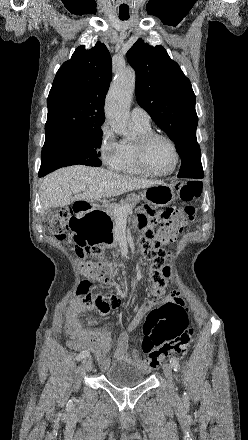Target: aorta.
Wrapping results in <instances>:
<instances>
[{
    "label": "aorta",
    "instance_id": "762f6f07",
    "mask_svg": "<svg viewBox=\"0 0 248 440\" xmlns=\"http://www.w3.org/2000/svg\"><path fill=\"white\" fill-rule=\"evenodd\" d=\"M135 72L125 69L118 73L106 99L105 115L111 129L130 139L133 133L128 127L129 104L135 90Z\"/></svg>",
    "mask_w": 248,
    "mask_h": 440
}]
</instances>
